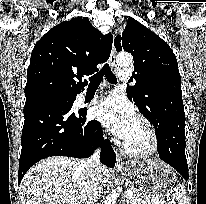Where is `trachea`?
I'll use <instances>...</instances> for the list:
<instances>
[{"instance_id": "1", "label": "trachea", "mask_w": 206, "mask_h": 204, "mask_svg": "<svg viewBox=\"0 0 206 204\" xmlns=\"http://www.w3.org/2000/svg\"><path fill=\"white\" fill-rule=\"evenodd\" d=\"M104 76L106 77V79L110 83H116L117 82V78L113 74L110 66L108 64H105L103 66V68L98 73H96L95 75L89 77V81H90L89 87L90 88L98 87Z\"/></svg>"}]
</instances>
